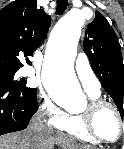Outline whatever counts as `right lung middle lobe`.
Returning <instances> with one entry per match:
<instances>
[{
  "label": "right lung middle lobe",
  "mask_w": 124,
  "mask_h": 149,
  "mask_svg": "<svg viewBox=\"0 0 124 149\" xmlns=\"http://www.w3.org/2000/svg\"><path fill=\"white\" fill-rule=\"evenodd\" d=\"M17 70L18 69L16 68L0 67V78L7 79L8 81H10L11 83H13L18 87L25 88L29 91H35L36 89L26 87L27 82L24 81L23 79H20L19 81H14V75Z\"/></svg>",
  "instance_id": "obj_1"
}]
</instances>
